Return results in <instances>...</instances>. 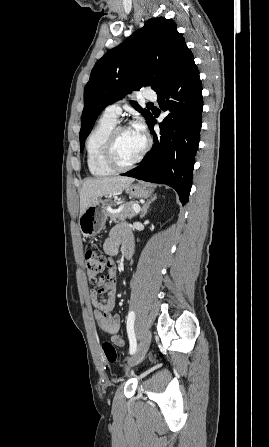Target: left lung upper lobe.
<instances>
[{
  "label": "left lung upper lobe",
  "mask_w": 269,
  "mask_h": 447,
  "mask_svg": "<svg viewBox=\"0 0 269 447\" xmlns=\"http://www.w3.org/2000/svg\"><path fill=\"white\" fill-rule=\"evenodd\" d=\"M186 49L176 24L160 17L148 20L125 42L108 51L95 64L84 90L80 150L106 106L145 86L158 93L173 75ZM131 104L148 122L152 114L135 101Z\"/></svg>",
  "instance_id": "1"
}]
</instances>
